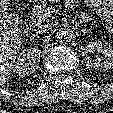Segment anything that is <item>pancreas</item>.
Instances as JSON below:
<instances>
[{
    "mask_svg": "<svg viewBox=\"0 0 113 113\" xmlns=\"http://www.w3.org/2000/svg\"><path fill=\"white\" fill-rule=\"evenodd\" d=\"M50 1H58V0H50ZM69 7H73L71 4L67 3ZM50 9L48 3L45 0H40V3L35 5L32 8L31 17L33 20H39L40 22H45L48 20L49 14L47 10Z\"/></svg>",
    "mask_w": 113,
    "mask_h": 113,
    "instance_id": "obj_1",
    "label": "pancreas"
}]
</instances>
